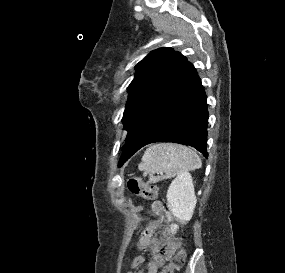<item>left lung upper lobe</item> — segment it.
Instances as JSON below:
<instances>
[{"instance_id": "left-lung-upper-lobe-1", "label": "left lung upper lobe", "mask_w": 285, "mask_h": 273, "mask_svg": "<svg viewBox=\"0 0 285 273\" xmlns=\"http://www.w3.org/2000/svg\"><path fill=\"white\" fill-rule=\"evenodd\" d=\"M187 62L180 52L163 47L151 51L136 65L122 119L125 129L129 130L162 99L177 82Z\"/></svg>"}]
</instances>
